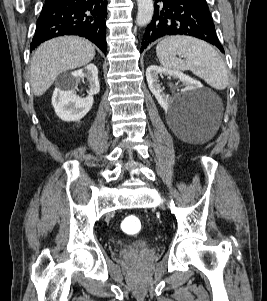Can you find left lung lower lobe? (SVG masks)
I'll return each mask as SVG.
<instances>
[{
	"label": "left lung lower lobe",
	"instance_id": "1",
	"mask_svg": "<svg viewBox=\"0 0 267 301\" xmlns=\"http://www.w3.org/2000/svg\"><path fill=\"white\" fill-rule=\"evenodd\" d=\"M159 1L163 2V7L156 4ZM154 7V16L146 28L141 51L160 37L187 35L205 40L224 52L206 4L198 0H155Z\"/></svg>",
	"mask_w": 267,
	"mask_h": 301
}]
</instances>
